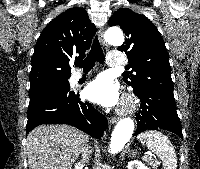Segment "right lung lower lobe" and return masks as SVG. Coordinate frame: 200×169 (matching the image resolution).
I'll return each mask as SVG.
<instances>
[{"instance_id":"right-lung-lower-lobe-1","label":"right lung lower lobe","mask_w":200,"mask_h":169,"mask_svg":"<svg viewBox=\"0 0 200 169\" xmlns=\"http://www.w3.org/2000/svg\"><path fill=\"white\" fill-rule=\"evenodd\" d=\"M26 134L41 124H69L100 139L107 119L90 103L70 91V85L52 86L29 92Z\"/></svg>"}]
</instances>
